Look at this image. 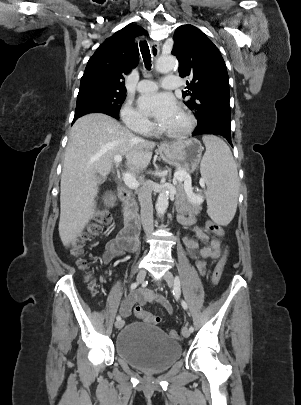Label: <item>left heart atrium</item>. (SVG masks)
Returning a JSON list of instances; mask_svg holds the SVG:
<instances>
[{"label":"left heart atrium","mask_w":301,"mask_h":405,"mask_svg":"<svg viewBox=\"0 0 301 405\" xmlns=\"http://www.w3.org/2000/svg\"><path fill=\"white\" fill-rule=\"evenodd\" d=\"M138 107L142 113L154 117L160 125L170 122L181 114L179 104L168 93L142 95L138 100Z\"/></svg>","instance_id":"39dd6f15"}]
</instances>
